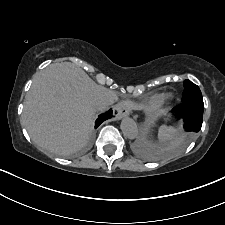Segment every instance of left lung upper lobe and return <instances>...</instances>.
Returning <instances> with one entry per match:
<instances>
[{"instance_id": "1", "label": "left lung upper lobe", "mask_w": 225, "mask_h": 225, "mask_svg": "<svg viewBox=\"0 0 225 225\" xmlns=\"http://www.w3.org/2000/svg\"><path fill=\"white\" fill-rule=\"evenodd\" d=\"M183 102L201 101L203 102L202 94L199 87L190 80L184 81ZM193 135V134H191ZM188 134V136H191Z\"/></svg>"}]
</instances>
